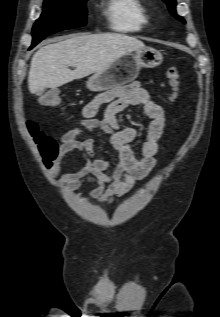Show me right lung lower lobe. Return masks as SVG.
I'll return each mask as SVG.
<instances>
[{
  "label": "right lung lower lobe",
  "mask_w": 220,
  "mask_h": 317,
  "mask_svg": "<svg viewBox=\"0 0 220 317\" xmlns=\"http://www.w3.org/2000/svg\"><path fill=\"white\" fill-rule=\"evenodd\" d=\"M34 46L32 45L31 47H30V49H32Z\"/></svg>",
  "instance_id": "98d812e1"
}]
</instances>
